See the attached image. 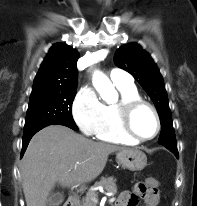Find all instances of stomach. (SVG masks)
I'll return each instance as SVG.
<instances>
[{"label":"stomach","mask_w":197,"mask_h":206,"mask_svg":"<svg viewBox=\"0 0 197 206\" xmlns=\"http://www.w3.org/2000/svg\"><path fill=\"white\" fill-rule=\"evenodd\" d=\"M116 158L123 168L131 171H140L147 165L146 155L137 149L120 150Z\"/></svg>","instance_id":"stomach-1"}]
</instances>
